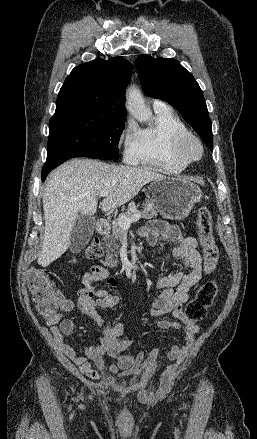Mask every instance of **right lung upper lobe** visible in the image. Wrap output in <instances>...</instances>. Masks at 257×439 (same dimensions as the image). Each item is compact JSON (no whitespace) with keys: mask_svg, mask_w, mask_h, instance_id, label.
I'll list each match as a JSON object with an SVG mask.
<instances>
[{"mask_svg":"<svg viewBox=\"0 0 257 439\" xmlns=\"http://www.w3.org/2000/svg\"><path fill=\"white\" fill-rule=\"evenodd\" d=\"M131 75L132 65L123 57L97 58L75 67L60 89L54 116L77 111L125 114Z\"/></svg>","mask_w":257,"mask_h":439,"instance_id":"right-lung-upper-lobe-1","label":"right lung upper lobe"}]
</instances>
